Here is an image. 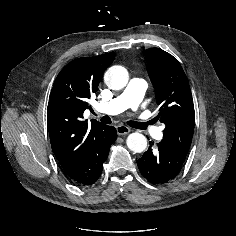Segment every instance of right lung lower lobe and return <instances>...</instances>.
<instances>
[{
    "mask_svg": "<svg viewBox=\"0 0 236 236\" xmlns=\"http://www.w3.org/2000/svg\"><path fill=\"white\" fill-rule=\"evenodd\" d=\"M115 127L105 125L93 138L90 147L80 165L70 174V180L80 186L95 183L102 173L103 163L106 161L110 146L116 140Z\"/></svg>",
    "mask_w": 236,
    "mask_h": 236,
    "instance_id": "obj_1",
    "label": "right lung lower lobe"
}]
</instances>
